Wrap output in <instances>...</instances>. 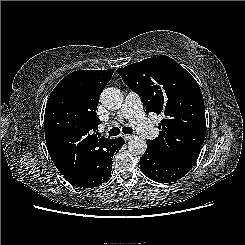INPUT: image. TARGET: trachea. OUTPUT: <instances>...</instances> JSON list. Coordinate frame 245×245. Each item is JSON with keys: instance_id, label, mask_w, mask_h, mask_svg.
I'll use <instances>...</instances> for the list:
<instances>
[{"instance_id": "3493384b", "label": "trachea", "mask_w": 245, "mask_h": 245, "mask_svg": "<svg viewBox=\"0 0 245 245\" xmlns=\"http://www.w3.org/2000/svg\"><path fill=\"white\" fill-rule=\"evenodd\" d=\"M122 132L124 134H132L133 133V129L131 127H124L122 129ZM120 133V129L118 127H113L110 131H109V136H117Z\"/></svg>"}]
</instances>
